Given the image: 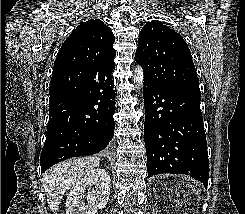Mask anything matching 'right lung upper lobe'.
Listing matches in <instances>:
<instances>
[{
  "mask_svg": "<svg viewBox=\"0 0 245 214\" xmlns=\"http://www.w3.org/2000/svg\"><path fill=\"white\" fill-rule=\"evenodd\" d=\"M112 30L100 19L81 23L62 44L50 81V94L77 95L88 88L98 69L114 68Z\"/></svg>",
  "mask_w": 245,
  "mask_h": 214,
  "instance_id": "right-lung-upper-lobe-1",
  "label": "right lung upper lobe"
}]
</instances>
